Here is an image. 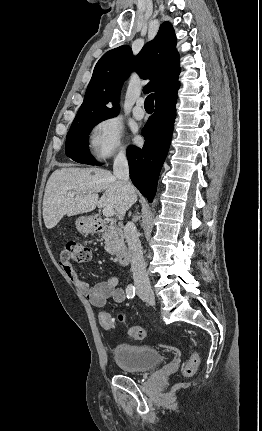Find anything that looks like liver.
I'll use <instances>...</instances> for the list:
<instances>
[{
  "mask_svg": "<svg viewBox=\"0 0 262 431\" xmlns=\"http://www.w3.org/2000/svg\"><path fill=\"white\" fill-rule=\"evenodd\" d=\"M104 191L99 199L98 192ZM70 192H75L74 196ZM137 200L133 188L127 192L123 183L108 170L99 168H61L49 177L43 199V219L52 229L64 215L74 216L96 207L115 209L119 217Z\"/></svg>",
  "mask_w": 262,
  "mask_h": 431,
  "instance_id": "1",
  "label": "liver"
}]
</instances>
